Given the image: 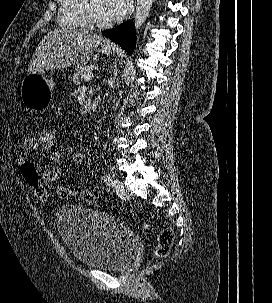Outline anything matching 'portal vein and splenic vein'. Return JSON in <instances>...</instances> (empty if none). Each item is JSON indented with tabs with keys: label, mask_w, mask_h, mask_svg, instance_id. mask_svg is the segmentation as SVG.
<instances>
[{
	"label": "portal vein and splenic vein",
	"mask_w": 272,
	"mask_h": 303,
	"mask_svg": "<svg viewBox=\"0 0 272 303\" xmlns=\"http://www.w3.org/2000/svg\"><path fill=\"white\" fill-rule=\"evenodd\" d=\"M92 77H93V72H89L85 77H84V80L85 81H89L90 79H92Z\"/></svg>",
	"instance_id": "portal-vein-and-splenic-vein-1"
}]
</instances>
